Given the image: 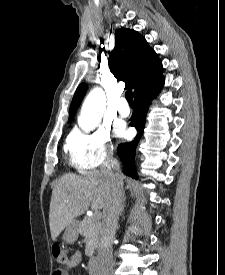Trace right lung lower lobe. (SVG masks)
Listing matches in <instances>:
<instances>
[{
  "mask_svg": "<svg viewBox=\"0 0 225 275\" xmlns=\"http://www.w3.org/2000/svg\"><path fill=\"white\" fill-rule=\"evenodd\" d=\"M164 84L163 76L153 78L144 90L135 96L136 110L131 117L130 125L138 131L137 136L132 142L121 143L118 145V155L123 164V172L131 177H136L134 168L135 149L143 133L146 113L150 101L155 97Z\"/></svg>",
  "mask_w": 225,
  "mask_h": 275,
  "instance_id": "1",
  "label": "right lung lower lobe"
}]
</instances>
